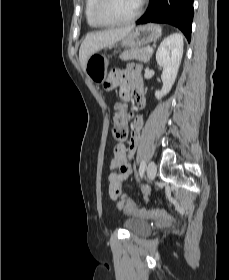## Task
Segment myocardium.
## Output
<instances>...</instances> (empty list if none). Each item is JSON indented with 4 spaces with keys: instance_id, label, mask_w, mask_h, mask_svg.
I'll return each mask as SVG.
<instances>
[{
    "instance_id": "myocardium-1",
    "label": "myocardium",
    "mask_w": 229,
    "mask_h": 280,
    "mask_svg": "<svg viewBox=\"0 0 229 280\" xmlns=\"http://www.w3.org/2000/svg\"><path fill=\"white\" fill-rule=\"evenodd\" d=\"M146 0H141L137 10L128 18L125 19H108L103 14V9L107 3V0H97L93 16L97 24L100 26H121L127 25L134 22L142 13L144 8V3Z\"/></svg>"
}]
</instances>
